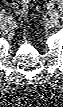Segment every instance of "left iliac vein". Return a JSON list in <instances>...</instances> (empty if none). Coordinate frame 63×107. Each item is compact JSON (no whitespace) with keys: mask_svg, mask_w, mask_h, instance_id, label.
I'll list each match as a JSON object with an SVG mask.
<instances>
[{"mask_svg":"<svg viewBox=\"0 0 63 107\" xmlns=\"http://www.w3.org/2000/svg\"><path fill=\"white\" fill-rule=\"evenodd\" d=\"M49 17H50V21L56 24L59 21L60 15L56 10H50Z\"/></svg>","mask_w":63,"mask_h":107,"instance_id":"1","label":"left iliac vein"}]
</instances>
